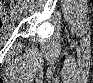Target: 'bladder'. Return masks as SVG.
I'll return each mask as SVG.
<instances>
[{"label":"bladder","mask_w":93,"mask_h":83,"mask_svg":"<svg viewBox=\"0 0 93 83\" xmlns=\"http://www.w3.org/2000/svg\"><path fill=\"white\" fill-rule=\"evenodd\" d=\"M12 33L11 27H1L0 35L3 37L9 36Z\"/></svg>","instance_id":"1"}]
</instances>
